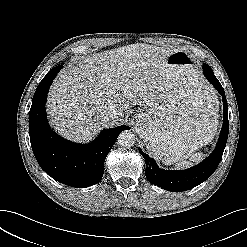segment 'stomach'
<instances>
[{
    "label": "stomach",
    "mask_w": 247,
    "mask_h": 247,
    "mask_svg": "<svg viewBox=\"0 0 247 247\" xmlns=\"http://www.w3.org/2000/svg\"><path fill=\"white\" fill-rule=\"evenodd\" d=\"M165 65L170 70L167 85L152 106L139 111L136 130L148 150L171 164L188 158L213 137L218 100L191 55L178 50Z\"/></svg>",
    "instance_id": "stomach-1"
}]
</instances>
